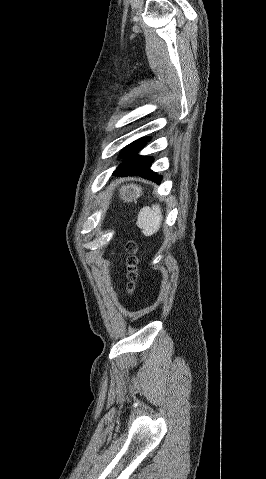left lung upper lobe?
<instances>
[{
	"instance_id": "5c2ea615",
	"label": "left lung upper lobe",
	"mask_w": 266,
	"mask_h": 479,
	"mask_svg": "<svg viewBox=\"0 0 266 479\" xmlns=\"http://www.w3.org/2000/svg\"><path fill=\"white\" fill-rule=\"evenodd\" d=\"M149 140V138H141L125 147L120 154L125 158L129 156V158L128 160L123 161L115 171H123L134 166L138 167L144 161L151 159V157H143L137 154V152L141 150Z\"/></svg>"
}]
</instances>
